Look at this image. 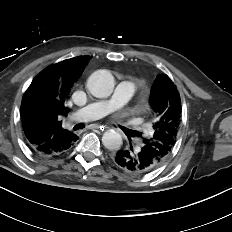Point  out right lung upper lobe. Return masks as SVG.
<instances>
[{"mask_svg":"<svg viewBox=\"0 0 232 232\" xmlns=\"http://www.w3.org/2000/svg\"><path fill=\"white\" fill-rule=\"evenodd\" d=\"M90 58L78 56L47 67L25 92L21 119L22 122L29 121L38 130L36 143L49 140L54 133L68 131L62 127L61 121V116L69 111L65 101Z\"/></svg>","mask_w":232,"mask_h":232,"instance_id":"right-lung-upper-lobe-1","label":"right lung upper lobe"}]
</instances>
